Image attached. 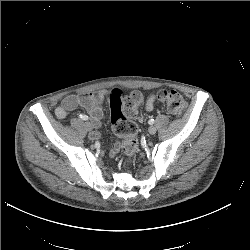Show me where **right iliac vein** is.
Masks as SVG:
<instances>
[{"label":"right iliac vein","mask_w":250,"mask_h":250,"mask_svg":"<svg viewBox=\"0 0 250 250\" xmlns=\"http://www.w3.org/2000/svg\"><path fill=\"white\" fill-rule=\"evenodd\" d=\"M84 126L86 127V129L88 131H91L93 129V126H92V124L90 122H85Z\"/></svg>","instance_id":"right-iliac-vein-1"}]
</instances>
